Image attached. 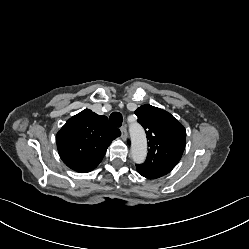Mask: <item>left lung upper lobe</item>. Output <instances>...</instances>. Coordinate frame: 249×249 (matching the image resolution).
Wrapping results in <instances>:
<instances>
[{"label":"left lung upper lobe","mask_w":249,"mask_h":249,"mask_svg":"<svg viewBox=\"0 0 249 249\" xmlns=\"http://www.w3.org/2000/svg\"><path fill=\"white\" fill-rule=\"evenodd\" d=\"M135 114L145 129L149 152L146 161L136 165L141 172L161 177L179 162L186 143L183 125L170 113L151 105H142Z\"/></svg>","instance_id":"5c2ea615"}]
</instances>
